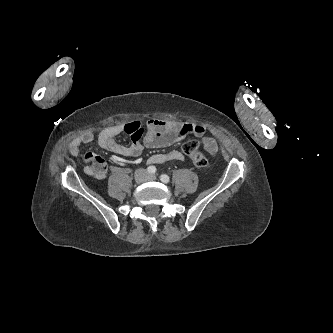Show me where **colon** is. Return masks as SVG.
Here are the masks:
<instances>
[{"label":"colon","mask_w":333,"mask_h":333,"mask_svg":"<svg viewBox=\"0 0 333 333\" xmlns=\"http://www.w3.org/2000/svg\"><path fill=\"white\" fill-rule=\"evenodd\" d=\"M199 146H200L199 140L191 139L183 145L182 150L186 155L191 157V159L193 160L194 164L197 167L203 168V167L208 166L209 161H208L207 156L203 155L202 153L199 154V151H198ZM207 153L211 157L215 156L216 148H212Z\"/></svg>","instance_id":"obj_1"}]
</instances>
